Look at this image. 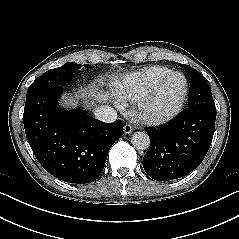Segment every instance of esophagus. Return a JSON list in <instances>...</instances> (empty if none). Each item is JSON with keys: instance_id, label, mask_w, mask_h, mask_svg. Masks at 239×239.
<instances>
[{"instance_id": "1", "label": "esophagus", "mask_w": 239, "mask_h": 239, "mask_svg": "<svg viewBox=\"0 0 239 239\" xmlns=\"http://www.w3.org/2000/svg\"><path fill=\"white\" fill-rule=\"evenodd\" d=\"M123 130H124V133H125V134H130V133L133 131V127H132V125L126 123V124L124 125Z\"/></svg>"}]
</instances>
